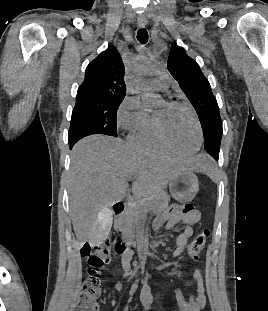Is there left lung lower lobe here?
Returning a JSON list of instances; mask_svg holds the SVG:
<instances>
[{
  "label": "left lung lower lobe",
  "instance_id": "obj_1",
  "mask_svg": "<svg viewBox=\"0 0 268 311\" xmlns=\"http://www.w3.org/2000/svg\"><path fill=\"white\" fill-rule=\"evenodd\" d=\"M211 156H212L215 160H218V158H219V153H214V152H212V153H211Z\"/></svg>",
  "mask_w": 268,
  "mask_h": 311
}]
</instances>
